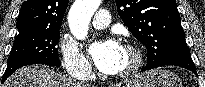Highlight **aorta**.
<instances>
[{"instance_id": "aorta-1", "label": "aorta", "mask_w": 205, "mask_h": 87, "mask_svg": "<svg viewBox=\"0 0 205 87\" xmlns=\"http://www.w3.org/2000/svg\"><path fill=\"white\" fill-rule=\"evenodd\" d=\"M101 0H75L68 14L69 27L75 38L85 40L90 20Z\"/></svg>"}]
</instances>
